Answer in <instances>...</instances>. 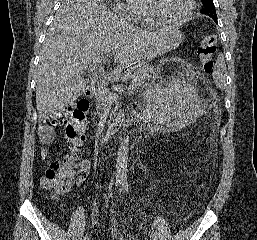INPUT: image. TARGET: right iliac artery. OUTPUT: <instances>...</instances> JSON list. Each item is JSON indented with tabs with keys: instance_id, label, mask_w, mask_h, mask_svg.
I'll use <instances>...</instances> for the list:
<instances>
[{
	"instance_id": "right-iliac-artery-1",
	"label": "right iliac artery",
	"mask_w": 257,
	"mask_h": 240,
	"mask_svg": "<svg viewBox=\"0 0 257 240\" xmlns=\"http://www.w3.org/2000/svg\"><path fill=\"white\" fill-rule=\"evenodd\" d=\"M119 185H120V181H117V182H116V186L118 187ZM88 239H89L88 234H86V235L84 236L83 240H88Z\"/></svg>"
}]
</instances>
